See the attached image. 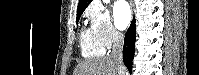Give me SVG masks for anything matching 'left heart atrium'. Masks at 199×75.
I'll return each instance as SVG.
<instances>
[{
  "mask_svg": "<svg viewBox=\"0 0 199 75\" xmlns=\"http://www.w3.org/2000/svg\"><path fill=\"white\" fill-rule=\"evenodd\" d=\"M113 14L116 26L119 29L124 30L128 26L131 20V11L127 2L125 1L117 2L114 7Z\"/></svg>",
  "mask_w": 199,
  "mask_h": 75,
  "instance_id": "obj_1",
  "label": "left heart atrium"
}]
</instances>
